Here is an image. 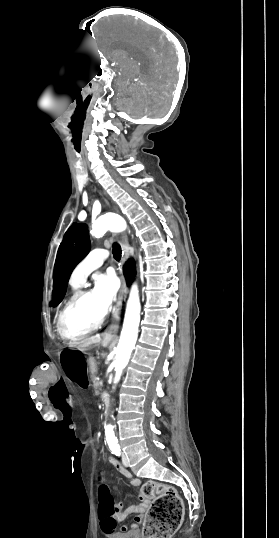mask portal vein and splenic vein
<instances>
[{"label": "portal vein and splenic vein", "mask_w": 279, "mask_h": 538, "mask_svg": "<svg viewBox=\"0 0 279 538\" xmlns=\"http://www.w3.org/2000/svg\"><path fill=\"white\" fill-rule=\"evenodd\" d=\"M99 383H100V385H103V382H102V380H99Z\"/></svg>", "instance_id": "18ae733b"}]
</instances>
